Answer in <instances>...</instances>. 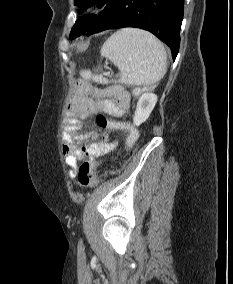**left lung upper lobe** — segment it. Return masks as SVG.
<instances>
[{"label":"left lung upper lobe","instance_id":"obj_1","mask_svg":"<svg viewBox=\"0 0 233 284\" xmlns=\"http://www.w3.org/2000/svg\"><path fill=\"white\" fill-rule=\"evenodd\" d=\"M109 0H74V5L79 6L80 8H87L91 6L94 2L98 3V7H102L107 4ZM83 11L80 10L79 13ZM97 15H83L80 17L74 24L71 33L70 39H75L76 37L86 33L90 27L94 24Z\"/></svg>","mask_w":233,"mask_h":284}]
</instances>
